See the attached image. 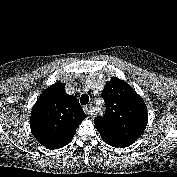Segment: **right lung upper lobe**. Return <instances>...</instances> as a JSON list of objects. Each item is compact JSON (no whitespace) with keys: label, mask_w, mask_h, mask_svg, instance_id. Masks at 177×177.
Segmentation results:
<instances>
[{"label":"right lung upper lobe","mask_w":177,"mask_h":177,"mask_svg":"<svg viewBox=\"0 0 177 177\" xmlns=\"http://www.w3.org/2000/svg\"><path fill=\"white\" fill-rule=\"evenodd\" d=\"M65 84L57 82L44 90L32 108L31 132L48 149H58L72 141L86 118L77 98L68 95Z\"/></svg>","instance_id":"obj_1"}]
</instances>
